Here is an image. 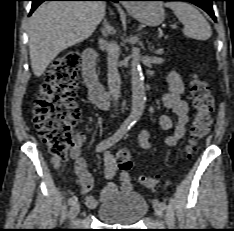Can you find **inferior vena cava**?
<instances>
[{
    "label": "inferior vena cava",
    "instance_id": "602c4592",
    "mask_svg": "<svg viewBox=\"0 0 234 231\" xmlns=\"http://www.w3.org/2000/svg\"><path fill=\"white\" fill-rule=\"evenodd\" d=\"M106 50L108 53V87L115 106L118 103L121 90L120 75L118 72L119 46L116 42H106Z\"/></svg>",
    "mask_w": 234,
    "mask_h": 231
}]
</instances>
